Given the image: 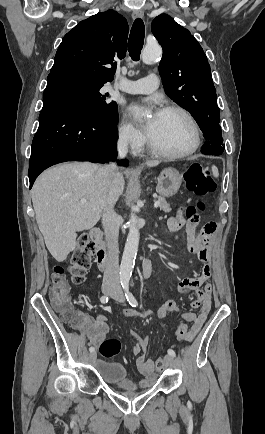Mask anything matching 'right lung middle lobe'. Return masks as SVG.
<instances>
[{"label":"right lung middle lobe","mask_w":265,"mask_h":434,"mask_svg":"<svg viewBox=\"0 0 265 434\" xmlns=\"http://www.w3.org/2000/svg\"><path fill=\"white\" fill-rule=\"evenodd\" d=\"M106 82L85 75L58 74L48 76L43 98L61 97L87 118L110 125L117 124V104L100 93Z\"/></svg>","instance_id":"dd1d6c3e"}]
</instances>
